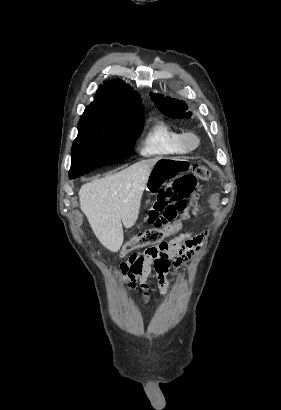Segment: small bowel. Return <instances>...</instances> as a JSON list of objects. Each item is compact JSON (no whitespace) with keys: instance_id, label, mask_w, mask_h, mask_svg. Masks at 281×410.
<instances>
[{"instance_id":"c3829d8e","label":"small bowel","mask_w":281,"mask_h":410,"mask_svg":"<svg viewBox=\"0 0 281 410\" xmlns=\"http://www.w3.org/2000/svg\"><path fill=\"white\" fill-rule=\"evenodd\" d=\"M199 210L200 205L196 204L193 208V216H196ZM179 231L180 227L171 233L173 238L169 241L149 247L143 254H132L127 261L120 264L121 279L128 282L130 290L140 291L145 302L149 298L148 279L152 270L156 273L160 293L166 295L167 274L170 269H180L194 256L205 239V234L179 233Z\"/></svg>"}]
</instances>
